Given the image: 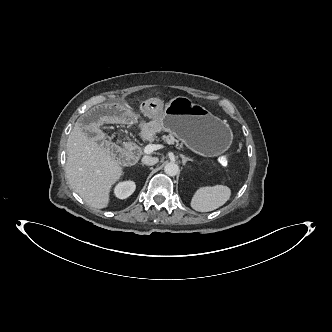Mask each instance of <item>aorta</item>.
<instances>
[{"instance_id": "aorta-1", "label": "aorta", "mask_w": 332, "mask_h": 332, "mask_svg": "<svg viewBox=\"0 0 332 332\" xmlns=\"http://www.w3.org/2000/svg\"><path fill=\"white\" fill-rule=\"evenodd\" d=\"M164 172L168 176H175L179 173V166L174 162H169L165 165Z\"/></svg>"}]
</instances>
